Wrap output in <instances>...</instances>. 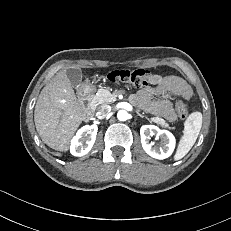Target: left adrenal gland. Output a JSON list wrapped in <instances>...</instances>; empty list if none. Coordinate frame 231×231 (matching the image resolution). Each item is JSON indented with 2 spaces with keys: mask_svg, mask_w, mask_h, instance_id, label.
<instances>
[{
  "mask_svg": "<svg viewBox=\"0 0 231 231\" xmlns=\"http://www.w3.org/2000/svg\"><path fill=\"white\" fill-rule=\"evenodd\" d=\"M137 115L140 116L141 118H143V116L137 111Z\"/></svg>",
  "mask_w": 231,
  "mask_h": 231,
  "instance_id": "left-adrenal-gland-1",
  "label": "left adrenal gland"
}]
</instances>
